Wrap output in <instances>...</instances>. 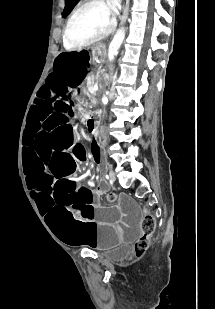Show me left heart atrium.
Masks as SVG:
<instances>
[{
    "mask_svg": "<svg viewBox=\"0 0 215 309\" xmlns=\"http://www.w3.org/2000/svg\"><path fill=\"white\" fill-rule=\"evenodd\" d=\"M107 5L109 7L107 10V13L111 18H113L116 13V7L118 5V0H107Z\"/></svg>",
    "mask_w": 215,
    "mask_h": 309,
    "instance_id": "obj_1",
    "label": "left heart atrium"
}]
</instances>
